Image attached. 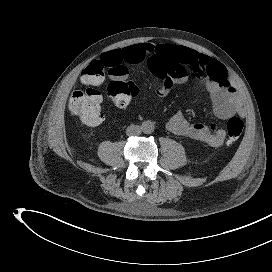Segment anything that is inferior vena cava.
<instances>
[{"label":"inferior vena cava","mask_w":272,"mask_h":272,"mask_svg":"<svg viewBox=\"0 0 272 272\" xmlns=\"http://www.w3.org/2000/svg\"><path fill=\"white\" fill-rule=\"evenodd\" d=\"M141 132H142V129H141V127L138 126V125H130V126H128L127 129H126V134H127L128 136H131V135H139V134H141Z\"/></svg>","instance_id":"obj_1"}]
</instances>
